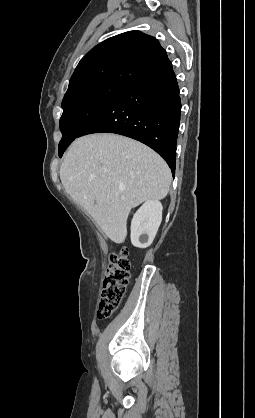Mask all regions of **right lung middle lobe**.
Listing matches in <instances>:
<instances>
[{"label": "right lung middle lobe", "instance_id": "dd1d6c3e", "mask_svg": "<svg viewBox=\"0 0 255 418\" xmlns=\"http://www.w3.org/2000/svg\"><path fill=\"white\" fill-rule=\"evenodd\" d=\"M126 86L116 82L96 81L76 86L65 94L62 101L64 111L60 118L62 139L59 143V157L88 122Z\"/></svg>", "mask_w": 255, "mask_h": 418}]
</instances>
